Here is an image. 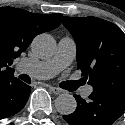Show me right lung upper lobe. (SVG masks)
<instances>
[{
	"label": "right lung upper lobe",
	"mask_w": 125,
	"mask_h": 125,
	"mask_svg": "<svg viewBox=\"0 0 125 125\" xmlns=\"http://www.w3.org/2000/svg\"><path fill=\"white\" fill-rule=\"evenodd\" d=\"M61 14H36L13 7L0 8V80L14 76L13 59L20 56L35 36L61 24Z\"/></svg>",
	"instance_id": "right-lung-upper-lobe-1"
}]
</instances>
